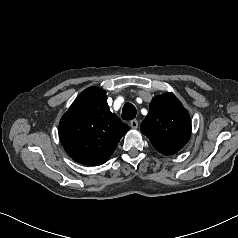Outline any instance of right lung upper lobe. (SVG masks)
Here are the masks:
<instances>
[{"label":"right lung upper lobe","mask_w":238,"mask_h":238,"mask_svg":"<svg viewBox=\"0 0 238 238\" xmlns=\"http://www.w3.org/2000/svg\"><path fill=\"white\" fill-rule=\"evenodd\" d=\"M129 130L107 104L104 90L85 89L62 116L59 138L67 154L76 162L98 166L114 152Z\"/></svg>","instance_id":"right-lung-upper-lobe-1"}]
</instances>
